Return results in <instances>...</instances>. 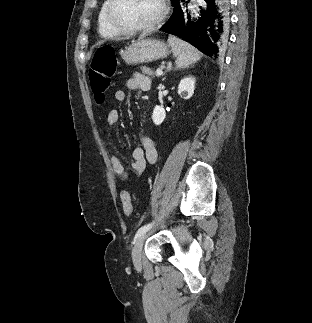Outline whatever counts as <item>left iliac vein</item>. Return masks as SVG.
Here are the masks:
<instances>
[{
	"label": "left iliac vein",
	"instance_id": "left-iliac-vein-1",
	"mask_svg": "<svg viewBox=\"0 0 312 323\" xmlns=\"http://www.w3.org/2000/svg\"><path fill=\"white\" fill-rule=\"evenodd\" d=\"M146 237H147L146 233L141 234L138 237V239L133 247V250H132V259H133V263H134L136 269L141 268L142 248H143L144 241H145Z\"/></svg>",
	"mask_w": 312,
	"mask_h": 323
}]
</instances>
